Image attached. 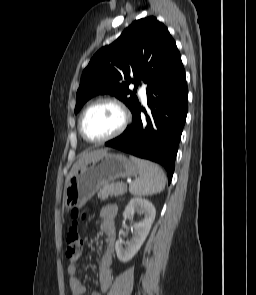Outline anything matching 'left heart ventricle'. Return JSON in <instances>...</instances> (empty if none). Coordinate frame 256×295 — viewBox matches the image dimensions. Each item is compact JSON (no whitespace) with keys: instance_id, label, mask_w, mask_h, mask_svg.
I'll return each instance as SVG.
<instances>
[{"instance_id":"obj_1","label":"left heart ventricle","mask_w":256,"mask_h":295,"mask_svg":"<svg viewBox=\"0 0 256 295\" xmlns=\"http://www.w3.org/2000/svg\"><path fill=\"white\" fill-rule=\"evenodd\" d=\"M121 123L119 110L111 104H100L86 116L84 131L92 139H101L117 130Z\"/></svg>"}]
</instances>
